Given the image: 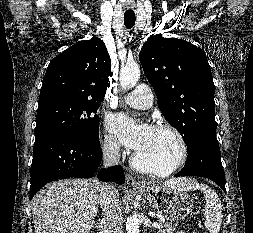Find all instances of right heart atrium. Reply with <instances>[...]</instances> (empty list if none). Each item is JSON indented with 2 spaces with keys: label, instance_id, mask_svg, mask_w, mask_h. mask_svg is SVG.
I'll use <instances>...</instances> for the list:
<instances>
[{
  "label": "right heart atrium",
  "instance_id": "right-heart-atrium-1",
  "mask_svg": "<svg viewBox=\"0 0 253 233\" xmlns=\"http://www.w3.org/2000/svg\"><path fill=\"white\" fill-rule=\"evenodd\" d=\"M103 151L106 155L110 157H116L119 155L120 143L113 134H105L103 139Z\"/></svg>",
  "mask_w": 253,
  "mask_h": 233
}]
</instances>
